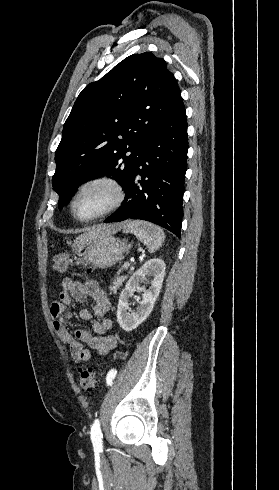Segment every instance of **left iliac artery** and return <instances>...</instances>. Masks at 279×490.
Listing matches in <instances>:
<instances>
[{"label":"left iliac artery","mask_w":279,"mask_h":490,"mask_svg":"<svg viewBox=\"0 0 279 490\" xmlns=\"http://www.w3.org/2000/svg\"><path fill=\"white\" fill-rule=\"evenodd\" d=\"M116 373L117 371L115 369H111L108 374H107V377H106V383L107 385H112L113 383V380L116 376ZM91 440H92V443H93V447L94 449H97V450H102L103 448V445H102V433H101V429H100V423H99V420L96 419L91 427Z\"/></svg>","instance_id":"left-iliac-artery-1"}]
</instances>
